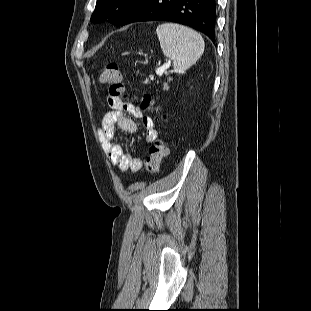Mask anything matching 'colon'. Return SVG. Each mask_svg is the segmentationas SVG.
Returning a JSON list of instances; mask_svg holds the SVG:
<instances>
[{"label":"colon","instance_id":"5ec220e1","mask_svg":"<svg viewBox=\"0 0 311 311\" xmlns=\"http://www.w3.org/2000/svg\"><path fill=\"white\" fill-rule=\"evenodd\" d=\"M100 81L105 86L108 96L125 99L129 95L126 91L123 76L120 68L115 63H109L104 66L100 75ZM139 108L142 111H156L162 122L167 120V115L163 113L153 99V97L145 93L139 102ZM168 154V147L164 139H157L149 149V155L145 160V169L150 174L159 171L161 162Z\"/></svg>","mask_w":311,"mask_h":311}]
</instances>
